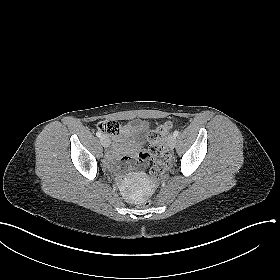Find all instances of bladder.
<instances>
[{
	"label": "bladder",
	"instance_id": "bladder-1",
	"mask_svg": "<svg viewBox=\"0 0 280 280\" xmlns=\"http://www.w3.org/2000/svg\"><path fill=\"white\" fill-rule=\"evenodd\" d=\"M145 139V131L139 127L131 128L127 131L123 142H129L133 144H141Z\"/></svg>",
	"mask_w": 280,
	"mask_h": 280
}]
</instances>
